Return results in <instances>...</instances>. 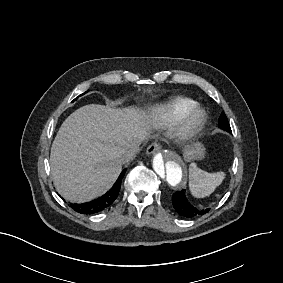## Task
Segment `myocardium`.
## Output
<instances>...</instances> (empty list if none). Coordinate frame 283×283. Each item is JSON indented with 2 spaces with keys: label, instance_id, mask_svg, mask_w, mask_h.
Wrapping results in <instances>:
<instances>
[{
  "label": "myocardium",
  "instance_id": "f54148a6",
  "mask_svg": "<svg viewBox=\"0 0 283 283\" xmlns=\"http://www.w3.org/2000/svg\"><path fill=\"white\" fill-rule=\"evenodd\" d=\"M206 111L199 105L190 108L180 104H169L165 109L164 131L172 143L184 146L199 136L204 122Z\"/></svg>",
  "mask_w": 283,
  "mask_h": 283
}]
</instances>
